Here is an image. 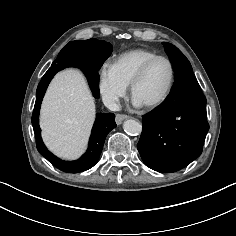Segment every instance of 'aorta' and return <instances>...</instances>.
Masks as SVG:
<instances>
[{
	"instance_id": "762f6f07",
	"label": "aorta",
	"mask_w": 236,
	"mask_h": 236,
	"mask_svg": "<svg viewBox=\"0 0 236 236\" xmlns=\"http://www.w3.org/2000/svg\"><path fill=\"white\" fill-rule=\"evenodd\" d=\"M124 131L131 135H139L142 131V125L140 122L128 119L123 124Z\"/></svg>"
}]
</instances>
